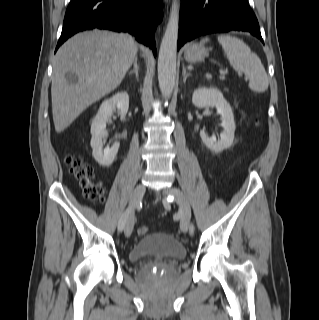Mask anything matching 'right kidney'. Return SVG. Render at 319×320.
<instances>
[{
    "instance_id": "obj_1",
    "label": "right kidney",
    "mask_w": 319,
    "mask_h": 320,
    "mask_svg": "<svg viewBox=\"0 0 319 320\" xmlns=\"http://www.w3.org/2000/svg\"><path fill=\"white\" fill-rule=\"evenodd\" d=\"M129 108V95L126 91H121L111 98L102 102L97 115L91 125L92 155L94 159L102 166L109 167L116 158L120 144L114 143L111 148L103 149L102 138L106 134V123L117 109L120 115H126Z\"/></svg>"
}]
</instances>
